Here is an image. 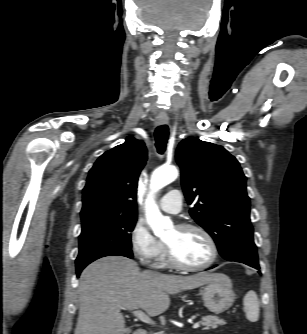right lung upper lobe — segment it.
<instances>
[{
    "mask_svg": "<svg viewBox=\"0 0 307 334\" xmlns=\"http://www.w3.org/2000/svg\"><path fill=\"white\" fill-rule=\"evenodd\" d=\"M147 150L132 136L106 151L89 171L83 189L81 217L90 215L136 216V189Z\"/></svg>",
    "mask_w": 307,
    "mask_h": 334,
    "instance_id": "right-lung-upper-lobe-1",
    "label": "right lung upper lobe"
}]
</instances>
